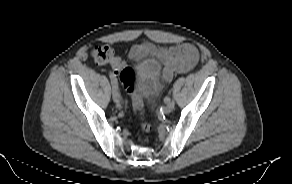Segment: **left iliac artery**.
<instances>
[{
    "label": "left iliac artery",
    "instance_id": "1",
    "mask_svg": "<svg viewBox=\"0 0 292 184\" xmlns=\"http://www.w3.org/2000/svg\"><path fill=\"white\" fill-rule=\"evenodd\" d=\"M170 100H171V99H170L169 96H166V97L164 98V102H165V103H168Z\"/></svg>",
    "mask_w": 292,
    "mask_h": 184
}]
</instances>
